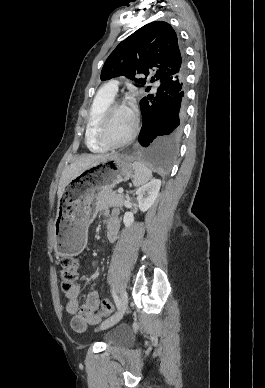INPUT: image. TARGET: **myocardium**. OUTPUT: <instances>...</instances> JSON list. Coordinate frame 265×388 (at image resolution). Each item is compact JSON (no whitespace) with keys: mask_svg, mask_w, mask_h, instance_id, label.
Segmentation results:
<instances>
[{"mask_svg":"<svg viewBox=\"0 0 265 388\" xmlns=\"http://www.w3.org/2000/svg\"><path fill=\"white\" fill-rule=\"evenodd\" d=\"M106 91H116V90H106ZM98 96V95H97ZM97 98V97H96ZM120 108H125V106L123 104H120V103H116V102H113V103H110L109 105H107L100 113L98 119H97V122H96V126H95V137H96V140L104 145V146H107V147H112V148H119V147H122V146H125L126 144H128L131 140H133L137 134V126L135 125V123L132 122V125H131V129L130 131L126 134V136H124L122 139H119V140H110L108 139L104 133H103V128H104V124H105V121H106V118L107 116L115 109H120Z\"/></svg>","mask_w":265,"mask_h":388,"instance_id":"f54148a6","label":"myocardium"}]
</instances>
